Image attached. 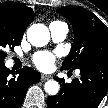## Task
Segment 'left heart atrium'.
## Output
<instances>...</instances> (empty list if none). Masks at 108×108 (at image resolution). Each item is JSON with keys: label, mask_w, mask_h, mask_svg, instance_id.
<instances>
[{"label": "left heart atrium", "mask_w": 108, "mask_h": 108, "mask_svg": "<svg viewBox=\"0 0 108 108\" xmlns=\"http://www.w3.org/2000/svg\"><path fill=\"white\" fill-rule=\"evenodd\" d=\"M33 62L40 70L49 71L54 65L55 57L48 52H39L34 55Z\"/></svg>", "instance_id": "obj_1"}]
</instances>
